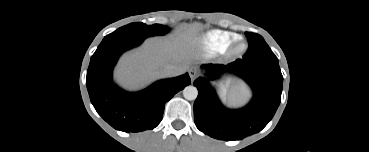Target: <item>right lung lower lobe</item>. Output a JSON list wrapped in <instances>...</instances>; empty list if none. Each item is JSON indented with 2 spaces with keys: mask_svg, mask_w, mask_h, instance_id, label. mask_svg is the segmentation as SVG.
<instances>
[{
  "mask_svg": "<svg viewBox=\"0 0 369 152\" xmlns=\"http://www.w3.org/2000/svg\"><path fill=\"white\" fill-rule=\"evenodd\" d=\"M143 38L131 35L107 36L92 55L86 84L90 100L98 114L113 128L140 132L158 126L165 103L191 83L186 73L160 80L137 93H127L112 81V70L119 56L138 46Z\"/></svg>",
  "mask_w": 369,
  "mask_h": 152,
  "instance_id": "98d812e1",
  "label": "right lung lower lobe"
}]
</instances>
